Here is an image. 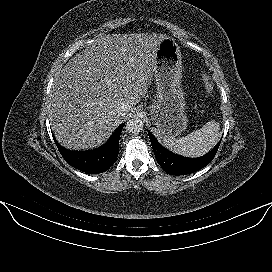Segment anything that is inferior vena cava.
<instances>
[{"instance_id": "1", "label": "inferior vena cava", "mask_w": 272, "mask_h": 272, "mask_svg": "<svg viewBox=\"0 0 272 272\" xmlns=\"http://www.w3.org/2000/svg\"><path fill=\"white\" fill-rule=\"evenodd\" d=\"M115 111L118 115H123L129 112V107L123 103H118L115 107Z\"/></svg>"}]
</instances>
